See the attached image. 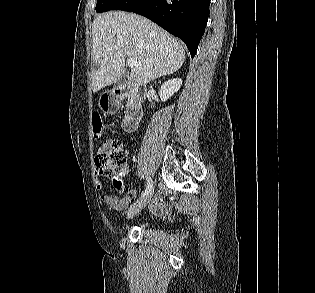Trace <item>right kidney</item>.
Instances as JSON below:
<instances>
[{"mask_svg":"<svg viewBox=\"0 0 315 293\" xmlns=\"http://www.w3.org/2000/svg\"><path fill=\"white\" fill-rule=\"evenodd\" d=\"M182 85V80L180 78H175L165 82L159 91L161 101L165 102L168 100L174 93H176Z\"/></svg>","mask_w":315,"mask_h":293,"instance_id":"obj_1","label":"right kidney"}]
</instances>
